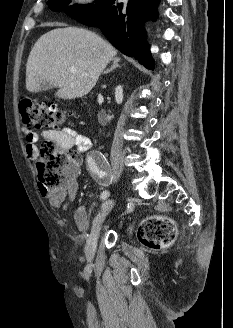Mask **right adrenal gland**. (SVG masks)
I'll list each match as a JSON object with an SVG mask.
<instances>
[{
  "label": "right adrenal gland",
  "mask_w": 233,
  "mask_h": 328,
  "mask_svg": "<svg viewBox=\"0 0 233 328\" xmlns=\"http://www.w3.org/2000/svg\"><path fill=\"white\" fill-rule=\"evenodd\" d=\"M120 60H121L120 57L113 58L112 59V66H111V68L110 69H107L102 74H107V73L113 71L115 68L120 67V65H119Z\"/></svg>",
  "instance_id": "1"
}]
</instances>
